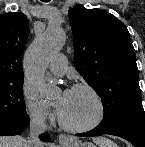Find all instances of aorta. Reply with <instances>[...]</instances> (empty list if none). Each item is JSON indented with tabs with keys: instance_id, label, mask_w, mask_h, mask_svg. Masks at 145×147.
Listing matches in <instances>:
<instances>
[{
	"instance_id": "1",
	"label": "aorta",
	"mask_w": 145,
	"mask_h": 147,
	"mask_svg": "<svg viewBox=\"0 0 145 147\" xmlns=\"http://www.w3.org/2000/svg\"><path fill=\"white\" fill-rule=\"evenodd\" d=\"M63 42L64 31L59 26H50L30 45L25 55V71L31 80L39 84L46 97L52 94V86L44 78L45 68Z\"/></svg>"
}]
</instances>
